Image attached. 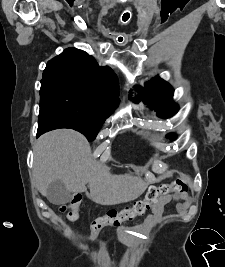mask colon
I'll use <instances>...</instances> for the list:
<instances>
[{
  "instance_id": "1",
  "label": "colon",
  "mask_w": 225,
  "mask_h": 267,
  "mask_svg": "<svg viewBox=\"0 0 225 267\" xmlns=\"http://www.w3.org/2000/svg\"><path fill=\"white\" fill-rule=\"evenodd\" d=\"M187 188L188 182L184 175L178 176L171 184L150 186L143 200L136 202L132 207H127L120 212L110 211L106 215L98 217L92 222L91 230L94 234L98 235L107 226H118L126 220H131L144 214L161 197L167 196L170 193H184ZM79 205L80 198L75 196L69 204L61 206V210L65 211L68 208V219L75 221L79 217Z\"/></svg>"
}]
</instances>
